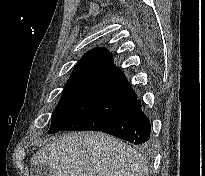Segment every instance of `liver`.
Masks as SVG:
<instances>
[{"label": "liver", "mask_w": 205, "mask_h": 176, "mask_svg": "<svg viewBox=\"0 0 205 176\" xmlns=\"http://www.w3.org/2000/svg\"><path fill=\"white\" fill-rule=\"evenodd\" d=\"M31 164H46L53 176H149L144 157L104 133L72 132L55 137Z\"/></svg>", "instance_id": "liver-1"}]
</instances>
